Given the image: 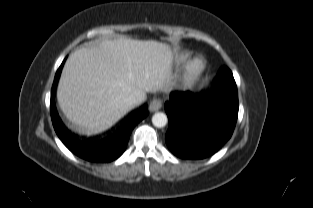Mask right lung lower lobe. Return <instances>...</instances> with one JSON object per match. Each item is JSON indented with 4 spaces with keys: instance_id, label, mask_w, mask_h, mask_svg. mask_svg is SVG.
I'll return each mask as SVG.
<instances>
[{
    "instance_id": "98d812e1",
    "label": "right lung lower lobe",
    "mask_w": 313,
    "mask_h": 208,
    "mask_svg": "<svg viewBox=\"0 0 313 208\" xmlns=\"http://www.w3.org/2000/svg\"><path fill=\"white\" fill-rule=\"evenodd\" d=\"M62 65L55 76L50 103L52 123L58 137L71 152L85 160L110 162L117 159L125 151L133 128L147 116V106L145 105L142 110L132 113L112 135H108L106 138L95 142H89L88 140L80 141L78 136L75 134L71 135L67 129L63 128L62 121L55 107V88Z\"/></svg>"
}]
</instances>
